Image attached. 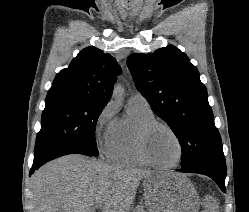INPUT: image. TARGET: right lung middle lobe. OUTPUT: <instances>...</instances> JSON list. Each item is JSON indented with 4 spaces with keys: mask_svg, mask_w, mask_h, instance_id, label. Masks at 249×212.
<instances>
[{
    "mask_svg": "<svg viewBox=\"0 0 249 212\" xmlns=\"http://www.w3.org/2000/svg\"><path fill=\"white\" fill-rule=\"evenodd\" d=\"M104 107L105 105L74 97L46 99L35 153L70 145L80 148L83 155L98 156L95 128Z\"/></svg>",
    "mask_w": 249,
    "mask_h": 212,
    "instance_id": "1",
    "label": "right lung middle lobe"
}]
</instances>
